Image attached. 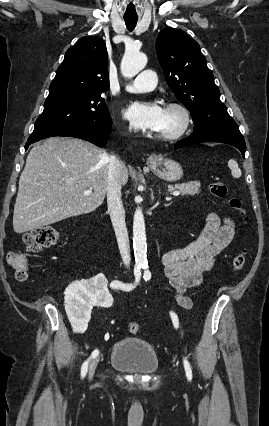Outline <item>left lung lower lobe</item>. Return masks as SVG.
I'll list each match as a JSON object with an SVG mask.
<instances>
[{"mask_svg":"<svg viewBox=\"0 0 269 426\" xmlns=\"http://www.w3.org/2000/svg\"><path fill=\"white\" fill-rule=\"evenodd\" d=\"M202 142H220L238 148L244 157L246 151L245 140L240 133L238 125L226 113L210 114L205 121L195 123L193 133L178 141L174 148L178 149L187 145Z\"/></svg>","mask_w":269,"mask_h":426,"instance_id":"0a47b994","label":"left lung lower lobe"}]
</instances>
